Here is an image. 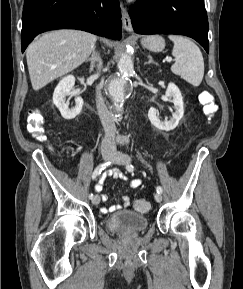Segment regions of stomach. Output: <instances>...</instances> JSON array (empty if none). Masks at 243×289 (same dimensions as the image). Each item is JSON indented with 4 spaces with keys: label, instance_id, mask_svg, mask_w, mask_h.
<instances>
[{
    "label": "stomach",
    "instance_id": "stomach-1",
    "mask_svg": "<svg viewBox=\"0 0 243 289\" xmlns=\"http://www.w3.org/2000/svg\"><path fill=\"white\" fill-rule=\"evenodd\" d=\"M141 44L153 52H160L165 48V41L160 35H150L142 38Z\"/></svg>",
    "mask_w": 243,
    "mask_h": 289
}]
</instances>
